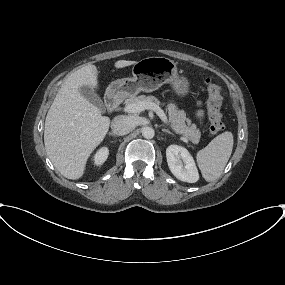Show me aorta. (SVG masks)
Returning a JSON list of instances; mask_svg holds the SVG:
<instances>
[{
  "label": "aorta",
  "mask_w": 285,
  "mask_h": 285,
  "mask_svg": "<svg viewBox=\"0 0 285 285\" xmlns=\"http://www.w3.org/2000/svg\"><path fill=\"white\" fill-rule=\"evenodd\" d=\"M155 135V131L152 127H144L142 129V136L146 139H152Z\"/></svg>",
  "instance_id": "obj_1"
}]
</instances>
